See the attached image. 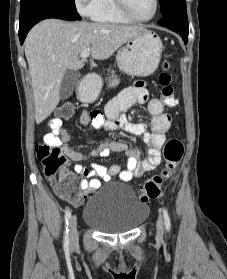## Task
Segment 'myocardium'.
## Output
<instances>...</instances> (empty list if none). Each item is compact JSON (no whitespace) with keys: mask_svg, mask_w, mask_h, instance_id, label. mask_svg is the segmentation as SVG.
<instances>
[{"mask_svg":"<svg viewBox=\"0 0 227 279\" xmlns=\"http://www.w3.org/2000/svg\"><path fill=\"white\" fill-rule=\"evenodd\" d=\"M114 2H115L117 9L119 10V12L134 22H147V21L152 20L156 16V14L158 12V8H159V1L153 0L152 13L148 17L138 18L131 12V10L128 6L127 0H114Z\"/></svg>","mask_w":227,"mask_h":279,"instance_id":"1","label":"myocardium"}]
</instances>
